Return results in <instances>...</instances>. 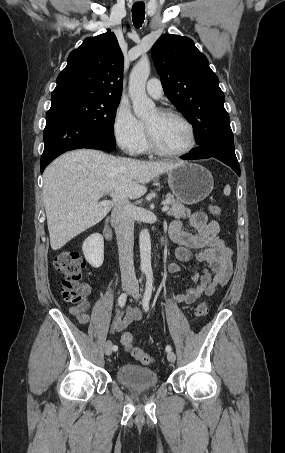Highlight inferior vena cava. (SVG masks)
<instances>
[{"label":"inferior vena cava","instance_id":"602c4592","mask_svg":"<svg viewBox=\"0 0 285 453\" xmlns=\"http://www.w3.org/2000/svg\"><path fill=\"white\" fill-rule=\"evenodd\" d=\"M133 205L127 200L118 201L112 210L111 223L115 228L121 279L124 283H136L133 263L134 215Z\"/></svg>","mask_w":285,"mask_h":453}]
</instances>
